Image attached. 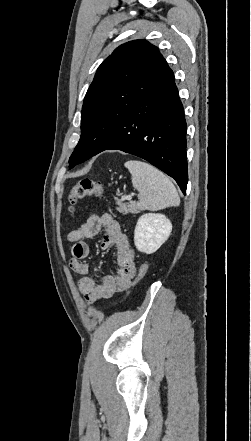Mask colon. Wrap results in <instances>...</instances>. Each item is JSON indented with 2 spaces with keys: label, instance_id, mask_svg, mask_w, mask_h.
Segmentation results:
<instances>
[{
  "label": "colon",
  "instance_id": "obj_1",
  "mask_svg": "<svg viewBox=\"0 0 251 441\" xmlns=\"http://www.w3.org/2000/svg\"><path fill=\"white\" fill-rule=\"evenodd\" d=\"M104 193L103 186L101 182L93 180L91 178L85 177L78 181L77 184H75L72 189L69 192L68 195V203H69V210L72 212L74 210V207L78 200L86 198V197H101ZM147 265L142 264L139 273H138V279L143 277L147 272ZM136 280L132 282L129 285L133 286L135 284Z\"/></svg>",
  "mask_w": 251,
  "mask_h": 441
}]
</instances>
